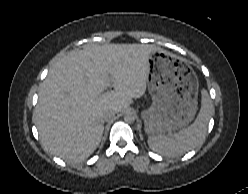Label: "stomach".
<instances>
[{
  "instance_id": "obj_1",
  "label": "stomach",
  "mask_w": 248,
  "mask_h": 194,
  "mask_svg": "<svg viewBox=\"0 0 248 194\" xmlns=\"http://www.w3.org/2000/svg\"><path fill=\"white\" fill-rule=\"evenodd\" d=\"M152 73L148 89L152 105L142 112L145 130L162 134L187 126L197 111L199 82L194 70L166 51L149 53Z\"/></svg>"
}]
</instances>
